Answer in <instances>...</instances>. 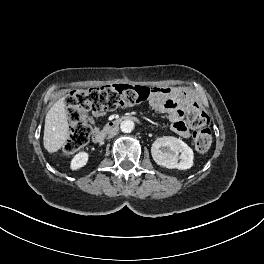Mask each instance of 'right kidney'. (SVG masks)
Instances as JSON below:
<instances>
[{
    "label": "right kidney",
    "mask_w": 264,
    "mask_h": 264,
    "mask_svg": "<svg viewBox=\"0 0 264 264\" xmlns=\"http://www.w3.org/2000/svg\"><path fill=\"white\" fill-rule=\"evenodd\" d=\"M89 159V155L86 152H79L78 154H76L71 163H70V169L75 171L78 170L82 167H84Z\"/></svg>",
    "instance_id": "obj_1"
}]
</instances>
